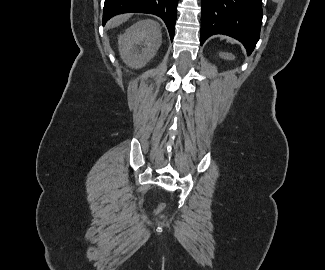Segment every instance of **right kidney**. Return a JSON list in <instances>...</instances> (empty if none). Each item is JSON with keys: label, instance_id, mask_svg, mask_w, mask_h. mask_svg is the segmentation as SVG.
<instances>
[{"label": "right kidney", "instance_id": "obj_1", "mask_svg": "<svg viewBox=\"0 0 325 270\" xmlns=\"http://www.w3.org/2000/svg\"><path fill=\"white\" fill-rule=\"evenodd\" d=\"M161 42L160 25L152 20L139 21L118 37L121 58L136 69L145 66L156 55Z\"/></svg>", "mask_w": 325, "mask_h": 270}]
</instances>
